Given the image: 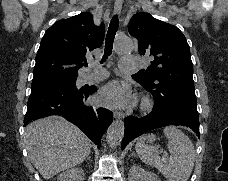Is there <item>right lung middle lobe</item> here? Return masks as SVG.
I'll return each instance as SVG.
<instances>
[{
    "label": "right lung middle lobe",
    "mask_w": 228,
    "mask_h": 181,
    "mask_svg": "<svg viewBox=\"0 0 228 181\" xmlns=\"http://www.w3.org/2000/svg\"><path fill=\"white\" fill-rule=\"evenodd\" d=\"M76 79H77V76H69V77H55V78H47L42 80H34L32 81L31 87L37 86V85H43V84L75 85Z\"/></svg>",
    "instance_id": "1"
}]
</instances>
